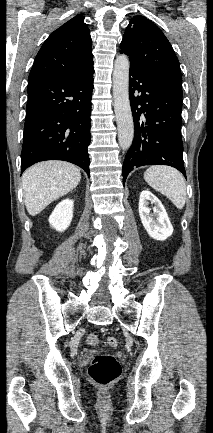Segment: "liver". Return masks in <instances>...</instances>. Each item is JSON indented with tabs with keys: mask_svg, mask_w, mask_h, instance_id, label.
I'll return each mask as SVG.
<instances>
[{
	"mask_svg": "<svg viewBox=\"0 0 213 433\" xmlns=\"http://www.w3.org/2000/svg\"><path fill=\"white\" fill-rule=\"evenodd\" d=\"M80 179V170L64 161H44L29 167L22 175L28 213L36 216L50 203L76 188Z\"/></svg>",
	"mask_w": 213,
	"mask_h": 433,
	"instance_id": "1",
	"label": "liver"
}]
</instances>
